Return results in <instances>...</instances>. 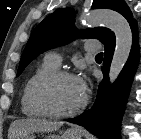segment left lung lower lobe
I'll list each match as a JSON object with an SVG mask.
<instances>
[{
	"label": "left lung lower lobe",
	"mask_w": 141,
	"mask_h": 139,
	"mask_svg": "<svg viewBox=\"0 0 141 139\" xmlns=\"http://www.w3.org/2000/svg\"><path fill=\"white\" fill-rule=\"evenodd\" d=\"M130 26L133 34L130 57L113 87L110 88L109 86L108 73L115 48V36L105 43L102 66L104 78L99 85L93 107L76 118L67 119L68 122L84 126L85 129L100 139L120 138V119L139 58L136 21Z\"/></svg>",
	"instance_id": "left-lung-lower-lobe-1"
}]
</instances>
